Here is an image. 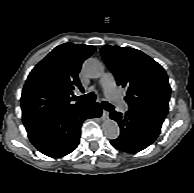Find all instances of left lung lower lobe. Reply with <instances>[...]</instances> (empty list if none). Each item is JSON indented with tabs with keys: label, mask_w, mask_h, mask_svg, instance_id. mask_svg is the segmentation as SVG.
<instances>
[{
	"label": "left lung lower lobe",
	"mask_w": 194,
	"mask_h": 193,
	"mask_svg": "<svg viewBox=\"0 0 194 193\" xmlns=\"http://www.w3.org/2000/svg\"><path fill=\"white\" fill-rule=\"evenodd\" d=\"M111 119L118 122L120 136L111 141L116 149L128 152H139L158 137L163 120L128 110L123 116L120 112L112 111Z\"/></svg>",
	"instance_id": "left-lung-lower-lobe-1"
}]
</instances>
